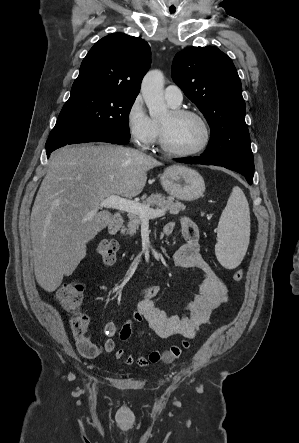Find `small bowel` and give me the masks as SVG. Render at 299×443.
<instances>
[{
	"mask_svg": "<svg viewBox=\"0 0 299 443\" xmlns=\"http://www.w3.org/2000/svg\"><path fill=\"white\" fill-rule=\"evenodd\" d=\"M180 226L183 244L174 253V263L180 268H197L201 271L203 281L199 293L181 314H177L169 313L158 306L155 300L159 294L158 286L145 287L137 309L125 323L109 321L105 324L104 334L107 338L102 343H93L86 334L77 336V349L84 358L93 359L102 354L112 353L116 360L126 365L136 363L140 367H145L158 363L161 354L157 350L151 351L148 356L135 359L132 354L116 349V337L120 341L128 340L133 324L145 321L161 338H182L169 349V357L177 359L182 350L189 349V340L195 337L202 326L210 322L212 313L227 302L228 289L225 283L200 253L199 232L196 225L189 218L183 217ZM174 230L175 224L172 222L164 228L167 235L173 234Z\"/></svg>",
	"mask_w": 299,
	"mask_h": 443,
	"instance_id": "1",
	"label": "small bowel"
}]
</instances>
